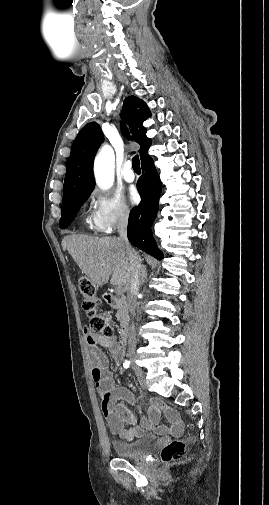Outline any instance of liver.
<instances>
[{"label":"liver","instance_id":"obj_1","mask_svg":"<svg viewBox=\"0 0 269 505\" xmlns=\"http://www.w3.org/2000/svg\"><path fill=\"white\" fill-rule=\"evenodd\" d=\"M62 248L69 252L92 284L102 286L111 277L112 285L128 290L130 264L119 238L67 235L62 240Z\"/></svg>","mask_w":269,"mask_h":505}]
</instances>
